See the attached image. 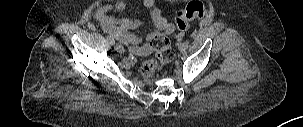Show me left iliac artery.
<instances>
[{"label":"left iliac artery","instance_id":"44dca946","mask_svg":"<svg viewBox=\"0 0 303 127\" xmlns=\"http://www.w3.org/2000/svg\"><path fill=\"white\" fill-rule=\"evenodd\" d=\"M184 45H185V47H186V49L189 47V42L188 41H185L184 42Z\"/></svg>","mask_w":303,"mask_h":127}]
</instances>
